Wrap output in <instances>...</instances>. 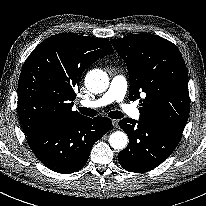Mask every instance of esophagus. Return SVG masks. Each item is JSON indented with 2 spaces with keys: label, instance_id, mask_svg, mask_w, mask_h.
Here are the masks:
<instances>
[{
  "label": "esophagus",
  "instance_id": "obj_1",
  "mask_svg": "<svg viewBox=\"0 0 206 206\" xmlns=\"http://www.w3.org/2000/svg\"><path fill=\"white\" fill-rule=\"evenodd\" d=\"M112 124L115 128L118 127V120H112Z\"/></svg>",
  "mask_w": 206,
  "mask_h": 206
}]
</instances>
